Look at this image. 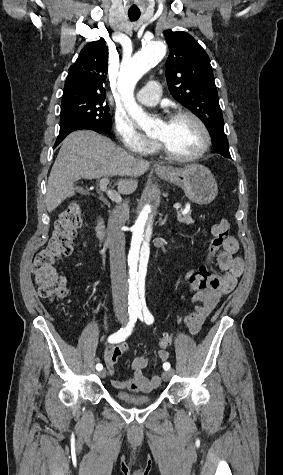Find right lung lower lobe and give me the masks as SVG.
I'll return each instance as SVG.
<instances>
[{"label":"right lung lower lobe","mask_w":283,"mask_h":475,"mask_svg":"<svg viewBox=\"0 0 283 475\" xmlns=\"http://www.w3.org/2000/svg\"><path fill=\"white\" fill-rule=\"evenodd\" d=\"M88 129L98 132L100 134H106V132L101 131L100 129L91 128L89 125L83 123H69L60 126V132L55 142L54 148L71 132L75 130Z\"/></svg>","instance_id":"obj_1"}]
</instances>
